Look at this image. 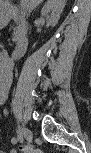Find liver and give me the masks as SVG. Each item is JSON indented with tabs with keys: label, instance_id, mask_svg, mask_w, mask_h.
<instances>
[{
	"label": "liver",
	"instance_id": "6515ba94",
	"mask_svg": "<svg viewBox=\"0 0 91 153\" xmlns=\"http://www.w3.org/2000/svg\"><path fill=\"white\" fill-rule=\"evenodd\" d=\"M43 0H24L22 2L23 7H27L30 11L36 8ZM58 3L65 5V0H58Z\"/></svg>",
	"mask_w": 91,
	"mask_h": 153
}]
</instances>
